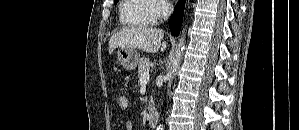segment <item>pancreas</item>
Here are the masks:
<instances>
[{
	"label": "pancreas",
	"instance_id": "1",
	"mask_svg": "<svg viewBox=\"0 0 299 130\" xmlns=\"http://www.w3.org/2000/svg\"><path fill=\"white\" fill-rule=\"evenodd\" d=\"M149 65H150V61L146 58H142L139 61V65H138L139 78L141 77L142 74H144L145 72H147L149 70Z\"/></svg>",
	"mask_w": 299,
	"mask_h": 130
}]
</instances>
